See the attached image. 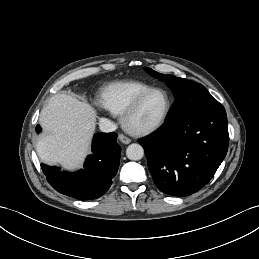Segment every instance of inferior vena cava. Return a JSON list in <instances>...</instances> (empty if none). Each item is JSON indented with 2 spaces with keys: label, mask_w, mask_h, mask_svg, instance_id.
I'll list each match as a JSON object with an SVG mask.
<instances>
[{
  "label": "inferior vena cava",
  "mask_w": 259,
  "mask_h": 259,
  "mask_svg": "<svg viewBox=\"0 0 259 259\" xmlns=\"http://www.w3.org/2000/svg\"><path fill=\"white\" fill-rule=\"evenodd\" d=\"M99 128L102 132H113L117 129V126L115 123H113L111 120L106 118H100L99 119Z\"/></svg>",
  "instance_id": "602c4592"
}]
</instances>
